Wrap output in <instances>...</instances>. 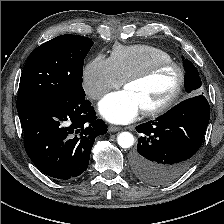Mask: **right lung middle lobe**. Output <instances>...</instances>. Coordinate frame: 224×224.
Instances as JSON below:
<instances>
[{
    "label": "right lung middle lobe",
    "mask_w": 224,
    "mask_h": 224,
    "mask_svg": "<svg viewBox=\"0 0 224 224\" xmlns=\"http://www.w3.org/2000/svg\"><path fill=\"white\" fill-rule=\"evenodd\" d=\"M92 45L90 38L66 34L37 47L21 74L17 111L47 97L68 101L84 99L83 65Z\"/></svg>",
    "instance_id": "dd1d6c3e"
}]
</instances>
